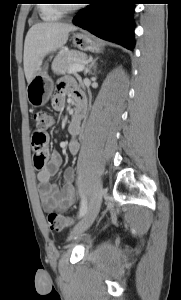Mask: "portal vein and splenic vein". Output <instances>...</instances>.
I'll return each instance as SVG.
<instances>
[{"label":"portal vein and splenic vein","mask_w":181,"mask_h":300,"mask_svg":"<svg viewBox=\"0 0 181 300\" xmlns=\"http://www.w3.org/2000/svg\"><path fill=\"white\" fill-rule=\"evenodd\" d=\"M85 68L84 64H74L72 67H71V70L69 72V74H74V73H77V72H80V71H83Z\"/></svg>","instance_id":"portal-vein-and-splenic-vein-1"}]
</instances>
